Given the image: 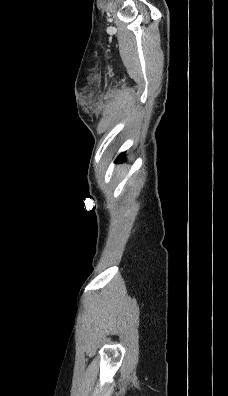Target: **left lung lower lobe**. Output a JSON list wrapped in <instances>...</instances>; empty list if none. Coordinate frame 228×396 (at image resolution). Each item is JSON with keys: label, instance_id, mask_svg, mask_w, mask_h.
Returning <instances> with one entry per match:
<instances>
[{"label": "left lung lower lobe", "instance_id": "left-lung-lower-lobe-1", "mask_svg": "<svg viewBox=\"0 0 228 396\" xmlns=\"http://www.w3.org/2000/svg\"><path fill=\"white\" fill-rule=\"evenodd\" d=\"M124 159H125V152H124V153H121V154L117 157L116 162L119 163V162L123 161Z\"/></svg>", "mask_w": 228, "mask_h": 396}]
</instances>
